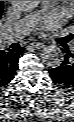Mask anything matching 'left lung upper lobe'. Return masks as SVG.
Here are the masks:
<instances>
[{"mask_svg":"<svg viewBox=\"0 0 74 122\" xmlns=\"http://www.w3.org/2000/svg\"><path fill=\"white\" fill-rule=\"evenodd\" d=\"M71 38L74 39V34H71Z\"/></svg>","mask_w":74,"mask_h":122,"instance_id":"left-lung-upper-lobe-1","label":"left lung upper lobe"}]
</instances>
